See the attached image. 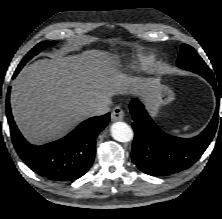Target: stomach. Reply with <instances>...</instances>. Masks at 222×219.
<instances>
[{"mask_svg":"<svg viewBox=\"0 0 222 219\" xmlns=\"http://www.w3.org/2000/svg\"><path fill=\"white\" fill-rule=\"evenodd\" d=\"M145 99L149 111L156 115L163 105H167L175 99V93L169 86L155 82Z\"/></svg>","mask_w":222,"mask_h":219,"instance_id":"obj_1","label":"stomach"}]
</instances>
